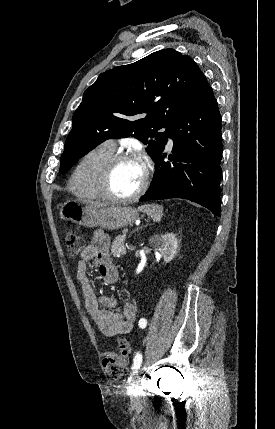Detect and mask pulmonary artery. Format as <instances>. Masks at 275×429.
Instances as JSON below:
<instances>
[{
  "label": "pulmonary artery",
  "mask_w": 275,
  "mask_h": 429,
  "mask_svg": "<svg viewBox=\"0 0 275 429\" xmlns=\"http://www.w3.org/2000/svg\"><path fill=\"white\" fill-rule=\"evenodd\" d=\"M105 145H107L108 147L114 149L115 148V143L113 140H108L104 143ZM169 144H172V140L169 141Z\"/></svg>",
  "instance_id": "pulmonary-artery-1"
}]
</instances>
